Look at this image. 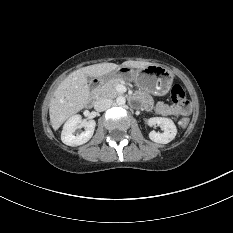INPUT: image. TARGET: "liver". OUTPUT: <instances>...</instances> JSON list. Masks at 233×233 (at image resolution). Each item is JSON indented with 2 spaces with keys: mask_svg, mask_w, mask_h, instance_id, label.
<instances>
[{
  "mask_svg": "<svg viewBox=\"0 0 233 233\" xmlns=\"http://www.w3.org/2000/svg\"><path fill=\"white\" fill-rule=\"evenodd\" d=\"M151 65L144 61H126L121 66L144 68ZM115 63H100L72 72L55 90L49 104L50 123L57 130L66 119L82 110L90 95L87 77H101L115 69Z\"/></svg>",
  "mask_w": 233,
  "mask_h": 233,
  "instance_id": "liver-1",
  "label": "liver"
}]
</instances>
